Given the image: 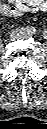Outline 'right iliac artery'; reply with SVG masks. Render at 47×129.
Wrapping results in <instances>:
<instances>
[{
	"instance_id": "obj_1",
	"label": "right iliac artery",
	"mask_w": 47,
	"mask_h": 129,
	"mask_svg": "<svg viewBox=\"0 0 47 129\" xmlns=\"http://www.w3.org/2000/svg\"><path fill=\"white\" fill-rule=\"evenodd\" d=\"M26 31H27L28 33H34V32L36 31V29H35V27H27V28H26Z\"/></svg>"
}]
</instances>
